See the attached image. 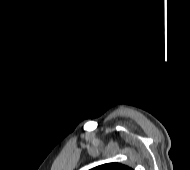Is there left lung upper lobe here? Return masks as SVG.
<instances>
[{
    "mask_svg": "<svg viewBox=\"0 0 190 170\" xmlns=\"http://www.w3.org/2000/svg\"><path fill=\"white\" fill-rule=\"evenodd\" d=\"M91 170H133L131 167L120 163H106L92 168Z\"/></svg>",
    "mask_w": 190,
    "mask_h": 170,
    "instance_id": "obj_1",
    "label": "left lung upper lobe"
}]
</instances>
